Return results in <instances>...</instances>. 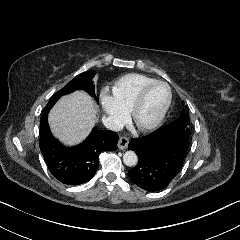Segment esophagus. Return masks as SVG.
I'll list each match as a JSON object with an SVG mask.
<instances>
[{"mask_svg": "<svg viewBox=\"0 0 240 240\" xmlns=\"http://www.w3.org/2000/svg\"><path fill=\"white\" fill-rule=\"evenodd\" d=\"M128 144H129V139H128L127 137L121 136V137L119 138V140H118V148H119L120 150L126 149L127 146H128Z\"/></svg>", "mask_w": 240, "mask_h": 240, "instance_id": "obj_1", "label": "esophagus"}]
</instances>
